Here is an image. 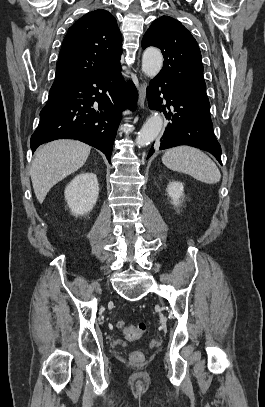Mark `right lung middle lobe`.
I'll list each match as a JSON object with an SVG mask.
<instances>
[{
    "mask_svg": "<svg viewBox=\"0 0 265 407\" xmlns=\"http://www.w3.org/2000/svg\"><path fill=\"white\" fill-rule=\"evenodd\" d=\"M66 87H61V86H53L50 89L49 95H52L54 93L60 92L62 90H64Z\"/></svg>",
    "mask_w": 265,
    "mask_h": 407,
    "instance_id": "right-lung-middle-lobe-1",
    "label": "right lung middle lobe"
}]
</instances>
